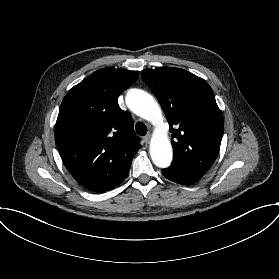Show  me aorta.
<instances>
[{"label": "aorta", "mask_w": 279, "mask_h": 279, "mask_svg": "<svg viewBox=\"0 0 279 279\" xmlns=\"http://www.w3.org/2000/svg\"><path fill=\"white\" fill-rule=\"evenodd\" d=\"M126 104L133 113L157 126L150 143V155L157 167H169L173 150L167 135L168 124L163 123L164 118L159 104L152 95L139 89L128 92Z\"/></svg>", "instance_id": "aorta-1"}]
</instances>
